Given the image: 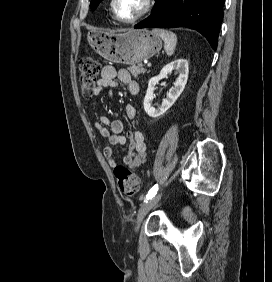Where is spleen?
Instances as JSON below:
<instances>
[{
  "label": "spleen",
  "instance_id": "spleen-1",
  "mask_svg": "<svg viewBox=\"0 0 272 282\" xmlns=\"http://www.w3.org/2000/svg\"><path fill=\"white\" fill-rule=\"evenodd\" d=\"M152 33L163 39L166 54L172 56L176 48L177 36L173 32L164 29H153Z\"/></svg>",
  "mask_w": 272,
  "mask_h": 282
}]
</instances>
